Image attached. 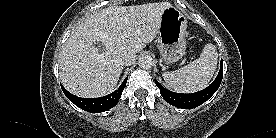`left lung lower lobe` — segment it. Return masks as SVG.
I'll return each instance as SVG.
<instances>
[{"mask_svg":"<svg viewBox=\"0 0 276 138\" xmlns=\"http://www.w3.org/2000/svg\"><path fill=\"white\" fill-rule=\"evenodd\" d=\"M222 76L223 61L221 60L220 71L216 79L207 88L199 92L191 94L175 93L165 89L157 80H155V84L160 89L161 95L167 103L182 109H193L203 104L217 91L221 84Z\"/></svg>","mask_w":276,"mask_h":138,"instance_id":"left-lung-lower-lobe-1","label":"left lung lower lobe"}]
</instances>
